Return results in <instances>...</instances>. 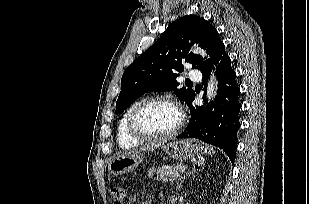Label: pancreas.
Masks as SVG:
<instances>
[{"label": "pancreas", "instance_id": "1", "mask_svg": "<svg viewBox=\"0 0 309 204\" xmlns=\"http://www.w3.org/2000/svg\"><path fill=\"white\" fill-rule=\"evenodd\" d=\"M181 171H182V165L159 169L157 171V176L155 177V179L157 181H162L164 183L168 181L172 182L179 176V173Z\"/></svg>", "mask_w": 309, "mask_h": 204}]
</instances>
